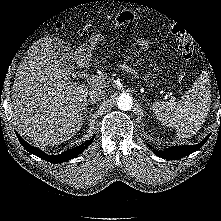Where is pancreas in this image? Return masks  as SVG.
I'll return each mask as SVG.
<instances>
[{
	"mask_svg": "<svg viewBox=\"0 0 221 221\" xmlns=\"http://www.w3.org/2000/svg\"><path fill=\"white\" fill-rule=\"evenodd\" d=\"M148 77H150V78H148ZM146 78H148V79L150 80V79H153L154 77H152V76H147Z\"/></svg>",
	"mask_w": 221,
	"mask_h": 221,
	"instance_id": "pancreas-1",
	"label": "pancreas"
}]
</instances>
